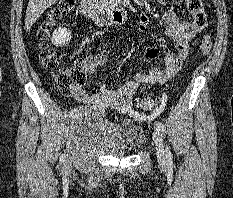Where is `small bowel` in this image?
Returning <instances> with one entry per match:
<instances>
[{
    "instance_id": "obj_1",
    "label": "small bowel",
    "mask_w": 233,
    "mask_h": 198,
    "mask_svg": "<svg viewBox=\"0 0 233 198\" xmlns=\"http://www.w3.org/2000/svg\"><path fill=\"white\" fill-rule=\"evenodd\" d=\"M165 23V35L174 43L176 53L161 52L158 48L149 46L145 50V57L149 60L163 58L164 65L160 69L151 71L131 72L132 79L122 81L116 88L102 85L100 92H87L82 87H77L71 97L82 104L89 105L104 111L110 105L119 107L123 112L135 118H145L131 111L134 94L142 84L160 85L172 78L181 68L189 51V41L200 31L193 22L182 21L176 13L168 9L162 14ZM149 23L146 15H140L137 28L144 32ZM82 68L87 75H93L97 68L110 65L109 59L104 55L94 54L86 58Z\"/></svg>"
}]
</instances>
